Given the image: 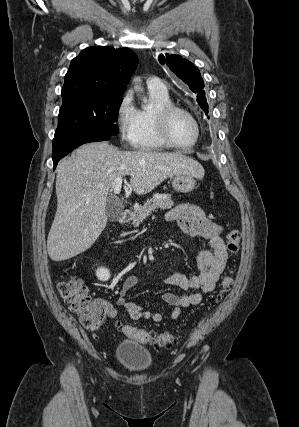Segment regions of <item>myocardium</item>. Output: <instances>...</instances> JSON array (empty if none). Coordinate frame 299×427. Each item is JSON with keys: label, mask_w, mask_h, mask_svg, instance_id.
<instances>
[{"label": "myocardium", "mask_w": 299, "mask_h": 427, "mask_svg": "<svg viewBox=\"0 0 299 427\" xmlns=\"http://www.w3.org/2000/svg\"><path fill=\"white\" fill-rule=\"evenodd\" d=\"M175 112H181V113L186 114L194 122L195 131H196L195 132V138H194L193 142H191L190 144H187V145L177 144L170 137L169 130H168V121H169L170 116ZM155 125H156L157 133H158L160 139L162 140V142L166 146H168L170 148L189 149V148H192L193 146H195L200 139L201 128H200L199 121L197 120L195 115L191 111H189L188 109L181 107L179 105L173 104V103L162 106L156 110V112H155Z\"/></svg>", "instance_id": "obj_1"}]
</instances>
